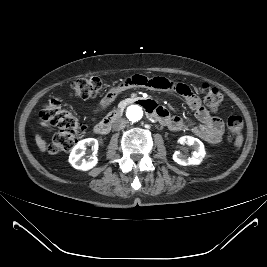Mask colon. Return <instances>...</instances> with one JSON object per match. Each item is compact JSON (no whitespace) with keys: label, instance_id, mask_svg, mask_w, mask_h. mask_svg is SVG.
<instances>
[{"label":"colon","instance_id":"obj_1","mask_svg":"<svg viewBox=\"0 0 267 267\" xmlns=\"http://www.w3.org/2000/svg\"><path fill=\"white\" fill-rule=\"evenodd\" d=\"M105 84L99 77H86L71 83V94L80 99L95 98L104 88ZM204 103L215 111L224 103L222 93L215 87L207 84L202 86ZM40 118L54 126L57 131L50 143L48 150L53 155H60L70 151L76 144L82 131V125L75 115L66 107L59 98L49 100L40 111ZM227 127L234 136V145L240 147L243 143V119L238 114L227 118Z\"/></svg>","mask_w":267,"mask_h":267}]
</instances>
